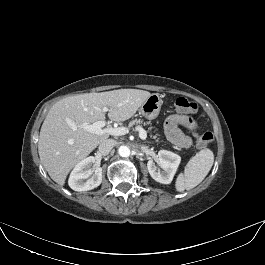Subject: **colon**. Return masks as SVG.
<instances>
[{"instance_id": "5ec220e1", "label": "colon", "mask_w": 265, "mask_h": 265, "mask_svg": "<svg viewBox=\"0 0 265 265\" xmlns=\"http://www.w3.org/2000/svg\"><path fill=\"white\" fill-rule=\"evenodd\" d=\"M175 107L178 110L193 113L197 110V105L184 97H179L175 101ZM196 144L199 148L208 146L213 141V134L211 132H205L200 135H196Z\"/></svg>"}]
</instances>
